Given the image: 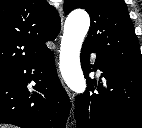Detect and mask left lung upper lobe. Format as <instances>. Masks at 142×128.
Masks as SVG:
<instances>
[{
	"label": "left lung upper lobe",
	"instance_id": "5c2ea615",
	"mask_svg": "<svg viewBox=\"0 0 142 128\" xmlns=\"http://www.w3.org/2000/svg\"><path fill=\"white\" fill-rule=\"evenodd\" d=\"M85 9L91 27L84 45L90 46L115 68L142 73V55L124 0H65L64 12Z\"/></svg>",
	"mask_w": 142,
	"mask_h": 128
}]
</instances>
